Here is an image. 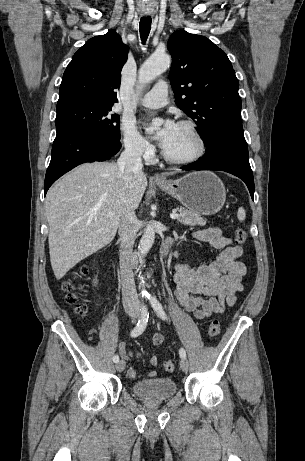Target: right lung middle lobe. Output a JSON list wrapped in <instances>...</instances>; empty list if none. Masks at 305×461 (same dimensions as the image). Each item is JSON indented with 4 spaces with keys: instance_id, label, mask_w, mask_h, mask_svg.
Returning <instances> with one entry per match:
<instances>
[{
    "instance_id": "dd1d6c3e",
    "label": "right lung middle lobe",
    "mask_w": 305,
    "mask_h": 461,
    "mask_svg": "<svg viewBox=\"0 0 305 461\" xmlns=\"http://www.w3.org/2000/svg\"><path fill=\"white\" fill-rule=\"evenodd\" d=\"M56 137L91 134L113 141L120 140V117L112 113V105L79 102L57 107Z\"/></svg>"
}]
</instances>
